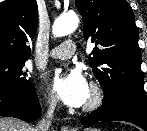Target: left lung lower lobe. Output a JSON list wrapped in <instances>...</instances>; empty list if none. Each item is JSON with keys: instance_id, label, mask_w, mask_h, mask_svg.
Instances as JSON below:
<instances>
[{"instance_id": "1", "label": "left lung lower lobe", "mask_w": 147, "mask_h": 131, "mask_svg": "<svg viewBox=\"0 0 147 131\" xmlns=\"http://www.w3.org/2000/svg\"><path fill=\"white\" fill-rule=\"evenodd\" d=\"M106 120L131 122L147 131V100L127 97L102 104L96 111L81 118L80 122L86 125Z\"/></svg>"}]
</instances>
